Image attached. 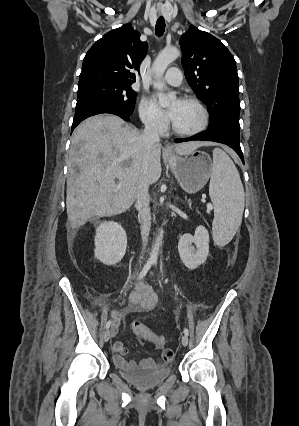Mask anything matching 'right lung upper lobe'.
Masks as SVG:
<instances>
[{"mask_svg": "<svg viewBox=\"0 0 299 426\" xmlns=\"http://www.w3.org/2000/svg\"><path fill=\"white\" fill-rule=\"evenodd\" d=\"M146 50L130 23L106 33L85 55L78 85L134 83Z\"/></svg>", "mask_w": 299, "mask_h": 426, "instance_id": "obj_1", "label": "right lung upper lobe"}]
</instances>
